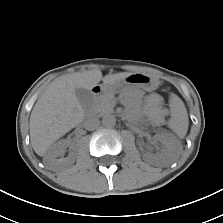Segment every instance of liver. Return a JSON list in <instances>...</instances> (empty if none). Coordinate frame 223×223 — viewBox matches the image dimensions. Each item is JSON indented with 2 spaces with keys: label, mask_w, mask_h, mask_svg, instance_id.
<instances>
[{
  "label": "liver",
  "mask_w": 223,
  "mask_h": 223,
  "mask_svg": "<svg viewBox=\"0 0 223 223\" xmlns=\"http://www.w3.org/2000/svg\"><path fill=\"white\" fill-rule=\"evenodd\" d=\"M130 74L121 72L102 77L100 70H91L66 74L51 82L30 116V141L36 154L44 156L56 140L83 121L84 109L77 99V88L91 90L101 80L114 83Z\"/></svg>",
  "instance_id": "1"
}]
</instances>
